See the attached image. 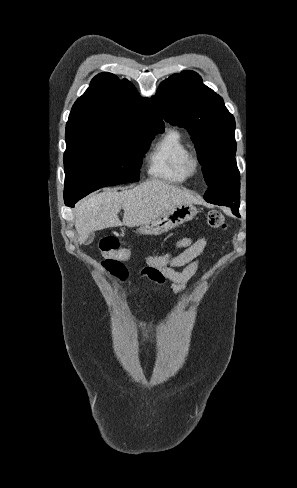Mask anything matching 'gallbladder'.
I'll return each instance as SVG.
<instances>
[{
  "label": "gallbladder",
  "instance_id": "obj_1",
  "mask_svg": "<svg viewBox=\"0 0 297 488\" xmlns=\"http://www.w3.org/2000/svg\"><path fill=\"white\" fill-rule=\"evenodd\" d=\"M93 237H94V233H90L87 240H86V244H90L93 240Z\"/></svg>",
  "mask_w": 297,
  "mask_h": 488
}]
</instances>
